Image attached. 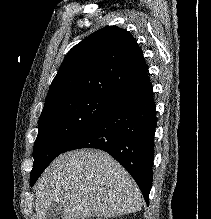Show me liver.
Returning <instances> with one entry per match:
<instances>
[{"mask_svg":"<svg viewBox=\"0 0 211 219\" xmlns=\"http://www.w3.org/2000/svg\"><path fill=\"white\" fill-rule=\"evenodd\" d=\"M36 219L54 203L62 219L111 218L141 210V192L130 174L108 153L82 149L61 154L35 187Z\"/></svg>","mask_w":211,"mask_h":219,"instance_id":"6515ba94","label":"liver"}]
</instances>
